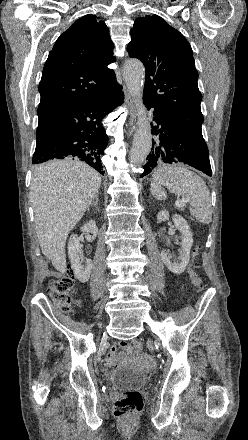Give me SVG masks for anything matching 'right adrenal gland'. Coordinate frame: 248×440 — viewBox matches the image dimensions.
Returning a JSON list of instances; mask_svg holds the SVG:
<instances>
[{"label":"right adrenal gland","mask_w":248,"mask_h":440,"mask_svg":"<svg viewBox=\"0 0 248 440\" xmlns=\"http://www.w3.org/2000/svg\"><path fill=\"white\" fill-rule=\"evenodd\" d=\"M91 206L95 207L96 210L99 212V207H98V195L95 196V199L93 201V203L91 204ZM90 208H88L89 210Z\"/></svg>","instance_id":"1"}]
</instances>
